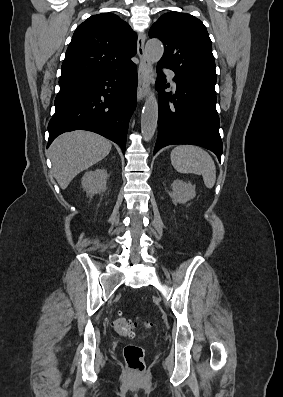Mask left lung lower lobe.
I'll return each instance as SVG.
<instances>
[{"mask_svg": "<svg viewBox=\"0 0 283 397\" xmlns=\"http://www.w3.org/2000/svg\"><path fill=\"white\" fill-rule=\"evenodd\" d=\"M163 66L158 64L156 89L158 99V137L154 154L172 144L199 145L214 152L221 160L223 144L219 134L216 93L174 77L176 93H166L169 87Z\"/></svg>", "mask_w": 283, "mask_h": 397, "instance_id": "obj_1", "label": "left lung lower lobe"}]
</instances>
